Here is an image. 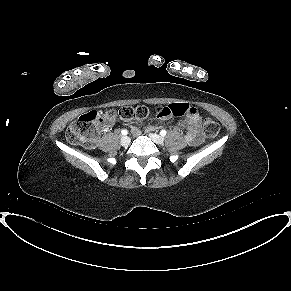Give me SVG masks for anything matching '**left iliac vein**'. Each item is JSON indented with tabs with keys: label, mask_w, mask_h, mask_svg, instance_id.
I'll return each mask as SVG.
<instances>
[{
	"label": "left iliac vein",
	"mask_w": 291,
	"mask_h": 291,
	"mask_svg": "<svg viewBox=\"0 0 291 291\" xmlns=\"http://www.w3.org/2000/svg\"><path fill=\"white\" fill-rule=\"evenodd\" d=\"M149 136L156 144L162 145L164 143V138L156 133H151Z\"/></svg>",
	"instance_id": "obj_1"
}]
</instances>
